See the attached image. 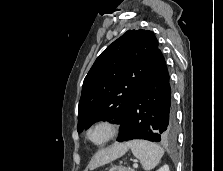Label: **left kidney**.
Masks as SVG:
<instances>
[{
    "instance_id": "left-kidney-1",
    "label": "left kidney",
    "mask_w": 223,
    "mask_h": 171,
    "mask_svg": "<svg viewBox=\"0 0 223 171\" xmlns=\"http://www.w3.org/2000/svg\"><path fill=\"white\" fill-rule=\"evenodd\" d=\"M157 171H170V170H169V166L168 165H164L160 169H158Z\"/></svg>"
}]
</instances>
